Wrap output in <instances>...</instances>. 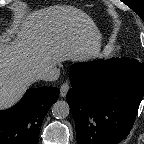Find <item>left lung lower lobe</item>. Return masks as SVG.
I'll list each match as a JSON object with an SVG mask.
<instances>
[{
    "label": "left lung lower lobe",
    "mask_w": 144,
    "mask_h": 144,
    "mask_svg": "<svg viewBox=\"0 0 144 144\" xmlns=\"http://www.w3.org/2000/svg\"><path fill=\"white\" fill-rule=\"evenodd\" d=\"M67 102L78 144H117L130 132L144 95V63L128 58L81 62L69 71Z\"/></svg>",
    "instance_id": "0a47b994"
}]
</instances>
